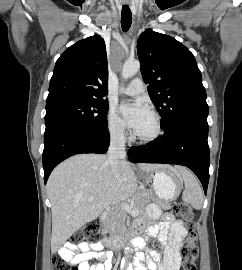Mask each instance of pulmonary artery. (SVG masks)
<instances>
[{"label": "pulmonary artery", "mask_w": 242, "mask_h": 270, "mask_svg": "<svg viewBox=\"0 0 242 270\" xmlns=\"http://www.w3.org/2000/svg\"><path fill=\"white\" fill-rule=\"evenodd\" d=\"M145 89L144 82L140 78H135L129 85L121 89V92L127 95H137Z\"/></svg>", "instance_id": "1"}]
</instances>
